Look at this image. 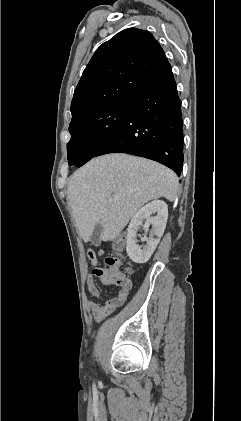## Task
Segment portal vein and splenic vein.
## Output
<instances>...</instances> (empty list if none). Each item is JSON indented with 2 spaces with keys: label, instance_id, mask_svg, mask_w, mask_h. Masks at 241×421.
Masks as SVG:
<instances>
[{
  "label": "portal vein and splenic vein",
  "instance_id": "obj_1",
  "mask_svg": "<svg viewBox=\"0 0 241 421\" xmlns=\"http://www.w3.org/2000/svg\"><path fill=\"white\" fill-rule=\"evenodd\" d=\"M113 198H114V199H117V198H118V196H117V195H113Z\"/></svg>",
  "mask_w": 241,
  "mask_h": 421
}]
</instances>
